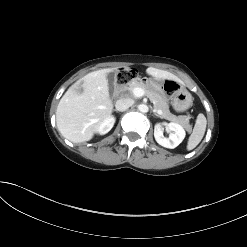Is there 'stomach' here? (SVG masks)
<instances>
[{
    "mask_svg": "<svg viewBox=\"0 0 247 247\" xmlns=\"http://www.w3.org/2000/svg\"><path fill=\"white\" fill-rule=\"evenodd\" d=\"M157 89L163 96L171 100L173 108L178 112H183L192 105V95L185 87L174 80H163V82L157 86Z\"/></svg>",
    "mask_w": 247,
    "mask_h": 247,
    "instance_id": "0dacf381",
    "label": "stomach"
}]
</instances>
